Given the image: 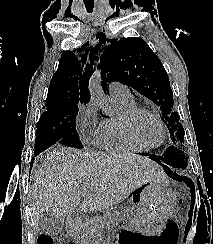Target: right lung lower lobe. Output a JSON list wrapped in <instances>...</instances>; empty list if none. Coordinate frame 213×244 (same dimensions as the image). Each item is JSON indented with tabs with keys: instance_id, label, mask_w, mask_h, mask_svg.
Here are the masks:
<instances>
[{
	"instance_id": "1",
	"label": "right lung lower lobe",
	"mask_w": 213,
	"mask_h": 244,
	"mask_svg": "<svg viewBox=\"0 0 213 244\" xmlns=\"http://www.w3.org/2000/svg\"><path fill=\"white\" fill-rule=\"evenodd\" d=\"M39 153H40V152H34L35 155H38ZM32 163H33V161H32Z\"/></svg>"
}]
</instances>
